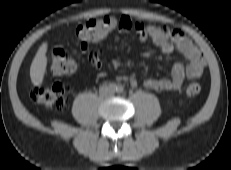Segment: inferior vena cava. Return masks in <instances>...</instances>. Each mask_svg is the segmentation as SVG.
Listing matches in <instances>:
<instances>
[{
    "instance_id": "inferior-vena-cava-1",
    "label": "inferior vena cava",
    "mask_w": 231,
    "mask_h": 170,
    "mask_svg": "<svg viewBox=\"0 0 231 170\" xmlns=\"http://www.w3.org/2000/svg\"><path fill=\"white\" fill-rule=\"evenodd\" d=\"M100 93L103 94V95H106V94H111V90L106 88V87H102L100 89Z\"/></svg>"
}]
</instances>
